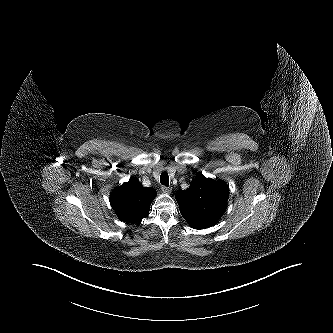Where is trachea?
I'll return each mask as SVG.
<instances>
[{
  "instance_id": "obj_1",
  "label": "trachea",
  "mask_w": 333,
  "mask_h": 333,
  "mask_svg": "<svg viewBox=\"0 0 333 333\" xmlns=\"http://www.w3.org/2000/svg\"><path fill=\"white\" fill-rule=\"evenodd\" d=\"M160 182L162 185L169 186V176L167 172H163L160 176Z\"/></svg>"
}]
</instances>
